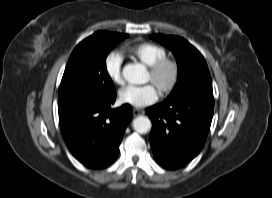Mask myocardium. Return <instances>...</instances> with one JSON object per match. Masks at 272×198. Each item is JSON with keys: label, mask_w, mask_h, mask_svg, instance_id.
<instances>
[{"label": "myocardium", "mask_w": 272, "mask_h": 198, "mask_svg": "<svg viewBox=\"0 0 272 198\" xmlns=\"http://www.w3.org/2000/svg\"><path fill=\"white\" fill-rule=\"evenodd\" d=\"M149 74L153 83L167 76V80L160 84L158 90L161 96H166L175 89L179 80L180 69L176 60L164 57L149 66Z\"/></svg>", "instance_id": "1"}]
</instances>
